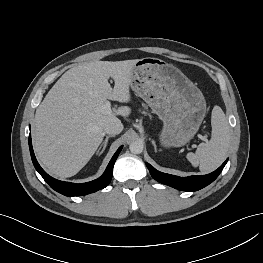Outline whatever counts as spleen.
<instances>
[{"instance_id": "3e777b00", "label": "spleen", "mask_w": 263, "mask_h": 263, "mask_svg": "<svg viewBox=\"0 0 263 263\" xmlns=\"http://www.w3.org/2000/svg\"><path fill=\"white\" fill-rule=\"evenodd\" d=\"M211 139L199 144L196 153H188L187 159L202 173H210L225 160L230 145L228 120L219 106H214L211 114Z\"/></svg>"}]
</instances>
